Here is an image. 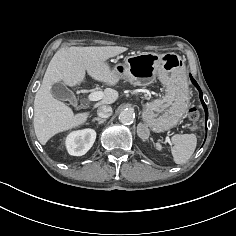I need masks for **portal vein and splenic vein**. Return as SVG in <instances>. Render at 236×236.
Returning <instances> with one entry per match:
<instances>
[{
  "label": "portal vein and splenic vein",
  "instance_id": "1",
  "mask_svg": "<svg viewBox=\"0 0 236 236\" xmlns=\"http://www.w3.org/2000/svg\"><path fill=\"white\" fill-rule=\"evenodd\" d=\"M104 97V93L101 91H95L88 95L89 101H98L101 100Z\"/></svg>",
  "mask_w": 236,
  "mask_h": 236
}]
</instances>
